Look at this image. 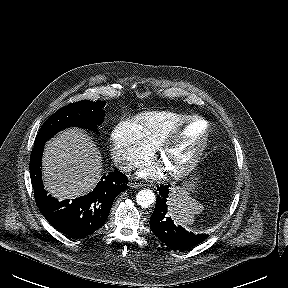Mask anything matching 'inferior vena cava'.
I'll use <instances>...</instances> for the list:
<instances>
[{"mask_svg": "<svg viewBox=\"0 0 288 288\" xmlns=\"http://www.w3.org/2000/svg\"><path fill=\"white\" fill-rule=\"evenodd\" d=\"M115 164L122 171H130L134 167V164L132 162L127 161V160L116 161Z\"/></svg>", "mask_w": 288, "mask_h": 288, "instance_id": "obj_1", "label": "inferior vena cava"}]
</instances>
